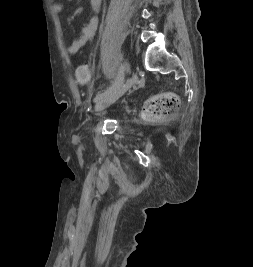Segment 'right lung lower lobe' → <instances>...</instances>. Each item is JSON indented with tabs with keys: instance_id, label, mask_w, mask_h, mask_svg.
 I'll return each instance as SVG.
<instances>
[{
	"instance_id": "98d812e1",
	"label": "right lung lower lobe",
	"mask_w": 253,
	"mask_h": 267,
	"mask_svg": "<svg viewBox=\"0 0 253 267\" xmlns=\"http://www.w3.org/2000/svg\"><path fill=\"white\" fill-rule=\"evenodd\" d=\"M157 213H158L157 210H148L147 211L148 217L155 216Z\"/></svg>"
}]
</instances>
